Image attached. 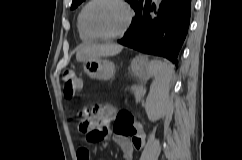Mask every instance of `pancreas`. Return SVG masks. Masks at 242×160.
Here are the masks:
<instances>
[{"label":"pancreas","instance_id":"cf45deb5","mask_svg":"<svg viewBox=\"0 0 242 160\" xmlns=\"http://www.w3.org/2000/svg\"><path fill=\"white\" fill-rule=\"evenodd\" d=\"M131 90L134 92L135 98L140 100L143 95V90L139 86H132Z\"/></svg>","mask_w":242,"mask_h":160}]
</instances>
